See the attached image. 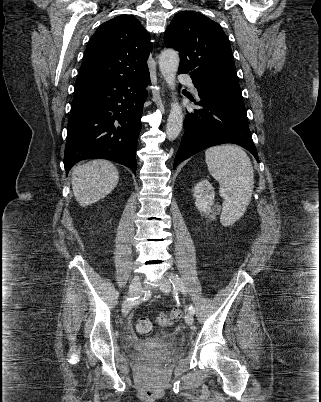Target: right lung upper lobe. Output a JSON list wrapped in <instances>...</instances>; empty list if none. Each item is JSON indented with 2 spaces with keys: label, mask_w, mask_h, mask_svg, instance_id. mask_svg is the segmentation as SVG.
I'll use <instances>...</instances> for the list:
<instances>
[{
  "label": "right lung upper lobe",
  "mask_w": 321,
  "mask_h": 402,
  "mask_svg": "<svg viewBox=\"0 0 321 402\" xmlns=\"http://www.w3.org/2000/svg\"><path fill=\"white\" fill-rule=\"evenodd\" d=\"M150 51V36L142 24L130 15L117 16L99 26L91 37L75 86L149 72Z\"/></svg>",
  "instance_id": "cb5924a9"
}]
</instances>
